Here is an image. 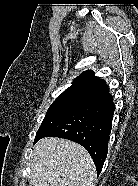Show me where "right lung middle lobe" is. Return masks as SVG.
<instances>
[{
  "instance_id": "right-lung-middle-lobe-1",
  "label": "right lung middle lobe",
  "mask_w": 138,
  "mask_h": 186,
  "mask_svg": "<svg viewBox=\"0 0 138 186\" xmlns=\"http://www.w3.org/2000/svg\"><path fill=\"white\" fill-rule=\"evenodd\" d=\"M91 97L92 90L81 88H68L65 90L49 107L45 118L37 131L35 142L70 113L86 104Z\"/></svg>"
}]
</instances>
